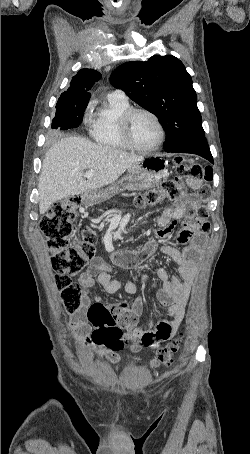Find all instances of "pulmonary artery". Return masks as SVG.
<instances>
[{"label":"pulmonary artery","instance_id":"obj_1","mask_svg":"<svg viewBox=\"0 0 250 454\" xmlns=\"http://www.w3.org/2000/svg\"><path fill=\"white\" fill-rule=\"evenodd\" d=\"M109 97L116 98L122 101H128L127 95L121 90H115L109 93Z\"/></svg>","mask_w":250,"mask_h":454}]
</instances>
